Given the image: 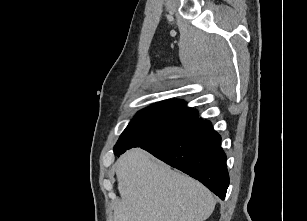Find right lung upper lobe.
Listing matches in <instances>:
<instances>
[{"instance_id": "obj_1", "label": "right lung upper lobe", "mask_w": 307, "mask_h": 221, "mask_svg": "<svg viewBox=\"0 0 307 221\" xmlns=\"http://www.w3.org/2000/svg\"><path fill=\"white\" fill-rule=\"evenodd\" d=\"M162 102H169V103H183V104H184V101H182V100H166V101H162Z\"/></svg>"}]
</instances>
